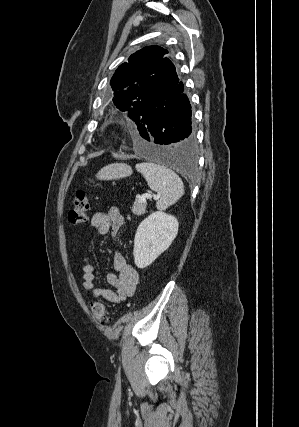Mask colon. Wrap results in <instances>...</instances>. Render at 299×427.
Wrapping results in <instances>:
<instances>
[{
  "instance_id": "1",
  "label": "colon",
  "mask_w": 299,
  "mask_h": 427,
  "mask_svg": "<svg viewBox=\"0 0 299 427\" xmlns=\"http://www.w3.org/2000/svg\"><path fill=\"white\" fill-rule=\"evenodd\" d=\"M89 207V195L85 191H78L68 214L70 224L77 226L85 223ZM90 308L94 319L99 324L108 325L110 323L112 314L101 301H92Z\"/></svg>"
}]
</instances>
